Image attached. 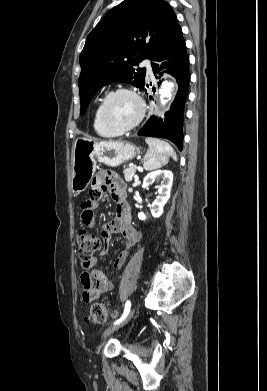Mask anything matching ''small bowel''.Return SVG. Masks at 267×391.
Returning <instances> with one entry per match:
<instances>
[{"label":"small bowel","mask_w":267,"mask_h":391,"mask_svg":"<svg viewBox=\"0 0 267 391\" xmlns=\"http://www.w3.org/2000/svg\"><path fill=\"white\" fill-rule=\"evenodd\" d=\"M105 195H110L116 203V216L100 229V236L105 243L100 256L107 254L112 235L120 234L124 238L125 247L116 257L113 265L114 268L121 269L126 262L128 250L140 242L141 233L131 225V209L126 199L125 184L113 171L103 169L94 176L89 198L81 203V221L86 227L95 226V210L99 199ZM97 263L98 258L93 257L88 265L82 264L80 281L82 298L85 302H92L114 288L113 282L102 270H91Z\"/></svg>","instance_id":"small-bowel-1"}]
</instances>
